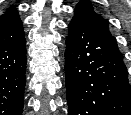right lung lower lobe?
<instances>
[{
  "label": "right lung lower lobe",
  "instance_id": "right-lung-lower-lobe-1",
  "mask_svg": "<svg viewBox=\"0 0 131 115\" xmlns=\"http://www.w3.org/2000/svg\"><path fill=\"white\" fill-rule=\"evenodd\" d=\"M26 40L0 47V115H21L24 106Z\"/></svg>",
  "mask_w": 131,
  "mask_h": 115
}]
</instances>
